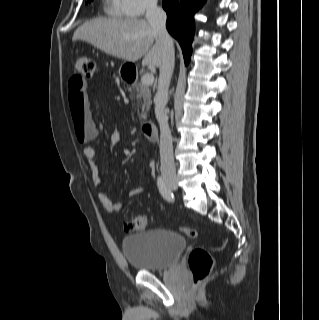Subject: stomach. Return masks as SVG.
I'll return each mask as SVG.
<instances>
[{
    "mask_svg": "<svg viewBox=\"0 0 319 320\" xmlns=\"http://www.w3.org/2000/svg\"><path fill=\"white\" fill-rule=\"evenodd\" d=\"M123 66H124V65H122V66L120 67V69H119V74H120V75H122V74H123V72H122V68H123Z\"/></svg>",
    "mask_w": 319,
    "mask_h": 320,
    "instance_id": "0dacf381",
    "label": "stomach"
}]
</instances>
